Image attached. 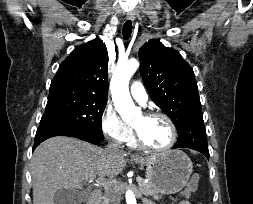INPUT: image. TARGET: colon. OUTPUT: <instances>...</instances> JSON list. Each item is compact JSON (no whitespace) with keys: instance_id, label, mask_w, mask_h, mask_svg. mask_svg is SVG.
<instances>
[{"instance_id":"obj_1","label":"colon","mask_w":253,"mask_h":204,"mask_svg":"<svg viewBox=\"0 0 253 204\" xmlns=\"http://www.w3.org/2000/svg\"><path fill=\"white\" fill-rule=\"evenodd\" d=\"M199 181L200 175L198 173H194L189 180L185 193L190 194L191 192L195 191L198 187Z\"/></svg>"}]
</instances>
